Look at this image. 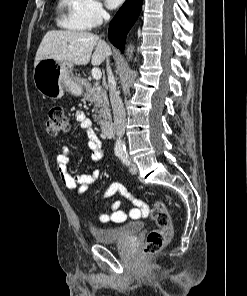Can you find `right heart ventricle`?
Returning <instances> with one entry per match:
<instances>
[{"instance_id": "right-heart-ventricle-1", "label": "right heart ventricle", "mask_w": 247, "mask_h": 296, "mask_svg": "<svg viewBox=\"0 0 247 296\" xmlns=\"http://www.w3.org/2000/svg\"><path fill=\"white\" fill-rule=\"evenodd\" d=\"M82 0H59L58 1V18L57 23L60 27L85 31L88 27L80 17Z\"/></svg>"}]
</instances>
